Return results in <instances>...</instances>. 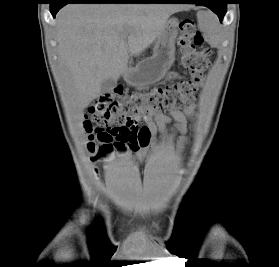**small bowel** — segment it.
<instances>
[{
	"instance_id": "c3829d8e",
	"label": "small bowel",
	"mask_w": 279,
	"mask_h": 267,
	"mask_svg": "<svg viewBox=\"0 0 279 267\" xmlns=\"http://www.w3.org/2000/svg\"><path fill=\"white\" fill-rule=\"evenodd\" d=\"M178 74L173 72L170 74V79H176ZM194 107H190L185 111L175 110L168 114L165 113H155L150 112L136 119L134 122V127L137 132L144 129L148 133L146 141L137 144H128L132 151L136 155L144 160L149 156L150 151L155 147L156 144V134H164L167 131H171L174 134H178L180 138L181 145H185L187 142L186 132H187V123L194 115ZM174 121L175 124L173 127H169V123ZM140 123L144 125L139 126Z\"/></svg>"
}]
</instances>
